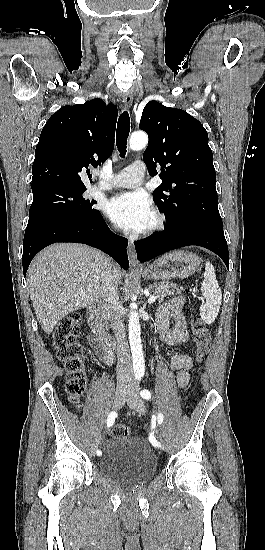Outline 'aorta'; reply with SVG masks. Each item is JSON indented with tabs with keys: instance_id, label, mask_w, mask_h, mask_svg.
I'll list each match as a JSON object with an SVG mask.
<instances>
[{
	"instance_id": "762f6f07",
	"label": "aorta",
	"mask_w": 265,
	"mask_h": 550,
	"mask_svg": "<svg viewBox=\"0 0 265 550\" xmlns=\"http://www.w3.org/2000/svg\"><path fill=\"white\" fill-rule=\"evenodd\" d=\"M147 144L148 136L144 132H134L130 137L129 147L134 151L143 149ZM128 334L134 371L137 375L142 376L145 372V362L140 336V321L135 310L130 312Z\"/></svg>"
}]
</instances>
